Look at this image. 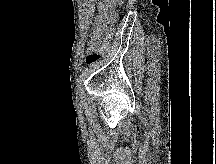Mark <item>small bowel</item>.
<instances>
[{
    "instance_id": "obj_1",
    "label": "small bowel",
    "mask_w": 216,
    "mask_h": 164,
    "mask_svg": "<svg viewBox=\"0 0 216 164\" xmlns=\"http://www.w3.org/2000/svg\"><path fill=\"white\" fill-rule=\"evenodd\" d=\"M116 0H99L93 31L104 27Z\"/></svg>"
}]
</instances>
